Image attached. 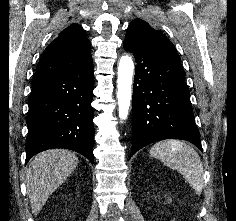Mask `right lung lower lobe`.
I'll list each match as a JSON object with an SVG mask.
<instances>
[{
  "label": "right lung lower lobe",
  "mask_w": 236,
  "mask_h": 221,
  "mask_svg": "<svg viewBox=\"0 0 236 221\" xmlns=\"http://www.w3.org/2000/svg\"><path fill=\"white\" fill-rule=\"evenodd\" d=\"M28 100L26 162L35 154L65 148L93 163V64L32 80Z\"/></svg>",
  "instance_id": "1"
}]
</instances>
